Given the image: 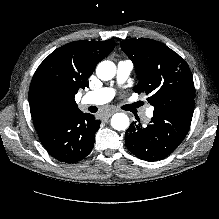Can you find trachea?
<instances>
[{
    "label": "trachea",
    "instance_id": "1",
    "mask_svg": "<svg viewBox=\"0 0 219 219\" xmlns=\"http://www.w3.org/2000/svg\"><path fill=\"white\" fill-rule=\"evenodd\" d=\"M88 109L92 113H94V112H96L98 110L97 107H95V106H90Z\"/></svg>",
    "mask_w": 219,
    "mask_h": 219
}]
</instances>
